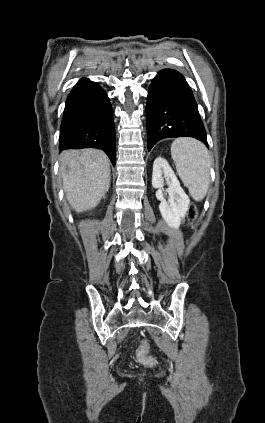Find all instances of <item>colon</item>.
I'll use <instances>...</instances> for the list:
<instances>
[{
  "label": "colon",
  "instance_id": "obj_1",
  "mask_svg": "<svg viewBox=\"0 0 265 423\" xmlns=\"http://www.w3.org/2000/svg\"><path fill=\"white\" fill-rule=\"evenodd\" d=\"M189 216L192 220H195L197 217V210L192 206L189 209ZM138 357L145 363L147 364H154L155 360L154 358L150 357L148 355V348L146 345H143V347L141 348V350L138 353Z\"/></svg>",
  "mask_w": 265,
  "mask_h": 423
}]
</instances>
